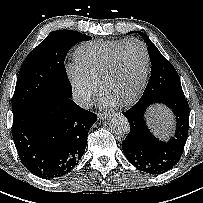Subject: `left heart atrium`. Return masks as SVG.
Here are the masks:
<instances>
[{
    "label": "left heart atrium",
    "mask_w": 203,
    "mask_h": 203,
    "mask_svg": "<svg viewBox=\"0 0 203 203\" xmlns=\"http://www.w3.org/2000/svg\"><path fill=\"white\" fill-rule=\"evenodd\" d=\"M99 104L103 107H109V106H113L116 104V101H114L111 97H109L108 95L104 94L100 100H99Z\"/></svg>",
    "instance_id": "39dd6f15"
}]
</instances>
